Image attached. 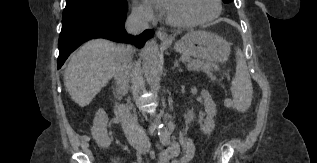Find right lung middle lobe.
<instances>
[{
	"label": "right lung middle lobe",
	"mask_w": 317,
	"mask_h": 163,
	"mask_svg": "<svg viewBox=\"0 0 317 163\" xmlns=\"http://www.w3.org/2000/svg\"><path fill=\"white\" fill-rule=\"evenodd\" d=\"M126 0H66L62 25L69 24L99 12L125 11Z\"/></svg>",
	"instance_id": "1"
}]
</instances>
